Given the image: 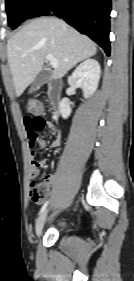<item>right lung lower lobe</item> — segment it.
Returning <instances> with one entry per match:
<instances>
[{
    "label": "right lung lower lobe",
    "instance_id": "right-lung-lower-lobe-1",
    "mask_svg": "<svg viewBox=\"0 0 134 281\" xmlns=\"http://www.w3.org/2000/svg\"><path fill=\"white\" fill-rule=\"evenodd\" d=\"M54 12L79 32L90 36L110 55L111 0H41L30 18Z\"/></svg>",
    "mask_w": 134,
    "mask_h": 281
}]
</instances>
